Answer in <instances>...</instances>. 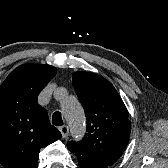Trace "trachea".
<instances>
[{
	"mask_svg": "<svg viewBox=\"0 0 168 168\" xmlns=\"http://www.w3.org/2000/svg\"><path fill=\"white\" fill-rule=\"evenodd\" d=\"M52 124L55 126H62L63 120L60 112H55L52 116Z\"/></svg>",
	"mask_w": 168,
	"mask_h": 168,
	"instance_id": "trachea-1",
	"label": "trachea"
}]
</instances>
